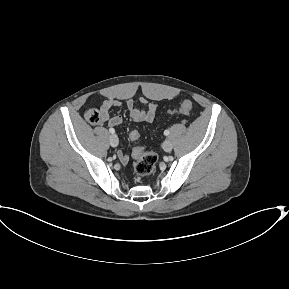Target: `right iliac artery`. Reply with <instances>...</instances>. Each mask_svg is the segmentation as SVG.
Returning <instances> with one entry per match:
<instances>
[{"mask_svg": "<svg viewBox=\"0 0 289 289\" xmlns=\"http://www.w3.org/2000/svg\"><path fill=\"white\" fill-rule=\"evenodd\" d=\"M109 132L112 133V134H114V133H115V130H114L113 128H110V129H109Z\"/></svg>", "mask_w": 289, "mask_h": 289, "instance_id": "obj_1", "label": "right iliac artery"}]
</instances>
